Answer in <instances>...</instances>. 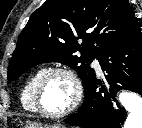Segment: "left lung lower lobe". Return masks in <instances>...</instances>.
Here are the masks:
<instances>
[{
    "label": "left lung lower lobe",
    "mask_w": 142,
    "mask_h": 128,
    "mask_svg": "<svg viewBox=\"0 0 142 128\" xmlns=\"http://www.w3.org/2000/svg\"><path fill=\"white\" fill-rule=\"evenodd\" d=\"M105 81L95 74L84 89V102L78 113L64 122L84 128H121L126 111L115 99L120 89L142 96V32L138 26L128 36L109 45L98 57ZM98 85L101 86L97 91Z\"/></svg>",
    "instance_id": "0a47b994"
}]
</instances>
